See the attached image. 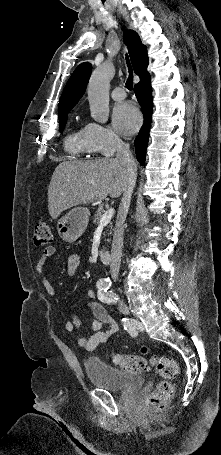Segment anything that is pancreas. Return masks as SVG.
<instances>
[{"instance_id": "obj_1", "label": "pancreas", "mask_w": 221, "mask_h": 455, "mask_svg": "<svg viewBox=\"0 0 221 455\" xmlns=\"http://www.w3.org/2000/svg\"><path fill=\"white\" fill-rule=\"evenodd\" d=\"M103 212H104V210L102 208H99L96 210V212L93 216V220L97 225H99V223H100V219L103 216ZM111 232H112V223L110 224V230H109L108 235L111 234Z\"/></svg>"}]
</instances>
